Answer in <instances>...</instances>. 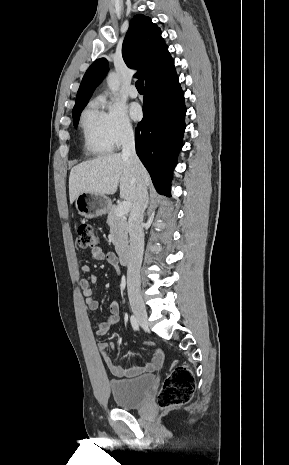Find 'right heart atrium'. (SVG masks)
<instances>
[{"label":"right heart atrium","instance_id":"right-heart-atrium-1","mask_svg":"<svg viewBox=\"0 0 289 465\" xmlns=\"http://www.w3.org/2000/svg\"><path fill=\"white\" fill-rule=\"evenodd\" d=\"M98 102L105 108L106 132L113 147H120L134 137V128L125 108L116 102L100 97Z\"/></svg>","mask_w":289,"mask_h":465}]
</instances>
